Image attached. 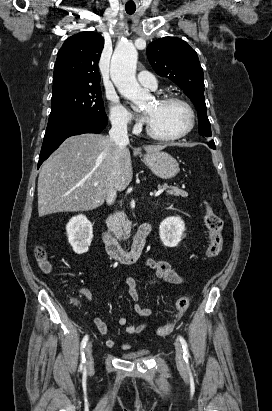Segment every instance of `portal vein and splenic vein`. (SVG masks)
<instances>
[{"instance_id": "obj_1", "label": "portal vein and splenic vein", "mask_w": 272, "mask_h": 411, "mask_svg": "<svg viewBox=\"0 0 272 411\" xmlns=\"http://www.w3.org/2000/svg\"><path fill=\"white\" fill-rule=\"evenodd\" d=\"M97 184H95L96 186ZM166 188H161L155 193V197H158Z\"/></svg>"}]
</instances>
